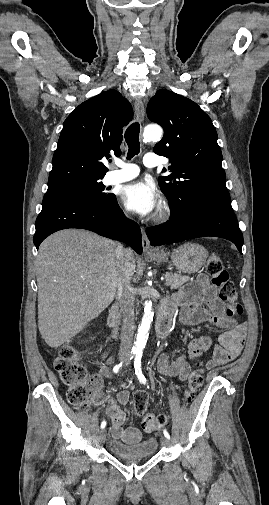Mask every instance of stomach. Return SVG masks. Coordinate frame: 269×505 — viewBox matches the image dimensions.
I'll return each instance as SVG.
<instances>
[{"mask_svg":"<svg viewBox=\"0 0 269 505\" xmlns=\"http://www.w3.org/2000/svg\"><path fill=\"white\" fill-rule=\"evenodd\" d=\"M149 257L156 262L168 260V255L162 250ZM207 257L208 251L205 247L197 243L187 242L173 251L171 260L178 270L191 274L200 270Z\"/></svg>","mask_w":269,"mask_h":505,"instance_id":"0dacf381","label":"stomach"}]
</instances>
